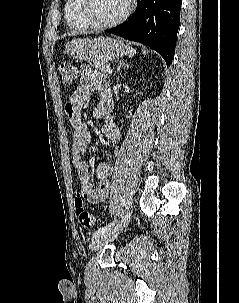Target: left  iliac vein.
Masks as SVG:
<instances>
[{"mask_svg":"<svg viewBox=\"0 0 239 303\" xmlns=\"http://www.w3.org/2000/svg\"><path fill=\"white\" fill-rule=\"evenodd\" d=\"M128 221V215L125 216L123 220H121L116 226H114L111 230L94 237L90 243L91 251H98L105 245L107 242L112 241L126 226Z\"/></svg>","mask_w":239,"mask_h":303,"instance_id":"4c4485c4","label":"left iliac vein"}]
</instances>
